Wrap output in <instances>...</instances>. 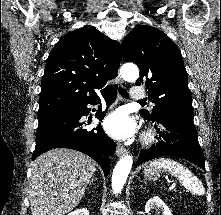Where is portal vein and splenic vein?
<instances>
[{"label": "portal vein and splenic vein", "instance_id": "obj_1", "mask_svg": "<svg viewBox=\"0 0 221 215\" xmlns=\"http://www.w3.org/2000/svg\"><path fill=\"white\" fill-rule=\"evenodd\" d=\"M171 189L175 188V184H172V186L170 187Z\"/></svg>", "mask_w": 221, "mask_h": 215}]
</instances>
